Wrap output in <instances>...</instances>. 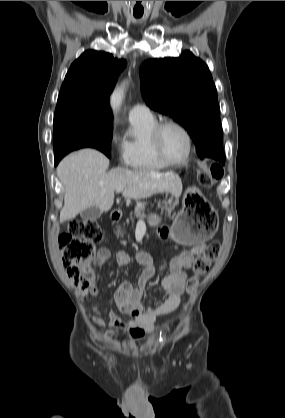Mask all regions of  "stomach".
Listing matches in <instances>:
<instances>
[{
  "label": "stomach",
  "mask_w": 285,
  "mask_h": 418,
  "mask_svg": "<svg viewBox=\"0 0 285 418\" xmlns=\"http://www.w3.org/2000/svg\"><path fill=\"white\" fill-rule=\"evenodd\" d=\"M213 206L195 188L183 196L182 209L173 220L171 238L178 244L192 246L210 240L216 230Z\"/></svg>",
  "instance_id": "1"
}]
</instances>
